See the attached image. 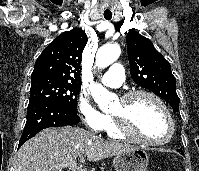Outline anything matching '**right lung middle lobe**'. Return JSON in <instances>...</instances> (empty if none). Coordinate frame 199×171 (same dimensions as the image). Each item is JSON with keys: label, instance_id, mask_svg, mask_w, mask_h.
<instances>
[{"label": "right lung middle lobe", "instance_id": "1", "mask_svg": "<svg viewBox=\"0 0 199 171\" xmlns=\"http://www.w3.org/2000/svg\"><path fill=\"white\" fill-rule=\"evenodd\" d=\"M81 84L53 78H31L30 101L43 98L58 102L77 113V95Z\"/></svg>", "mask_w": 199, "mask_h": 171}]
</instances>
